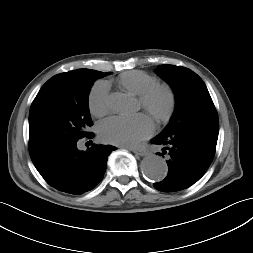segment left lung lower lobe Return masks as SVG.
Instances as JSON below:
<instances>
[{
  "label": "left lung lower lobe",
  "instance_id": "1",
  "mask_svg": "<svg viewBox=\"0 0 253 253\" xmlns=\"http://www.w3.org/2000/svg\"><path fill=\"white\" fill-rule=\"evenodd\" d=\"M218 132L219 127L207 123L153 138L151 142L164 146L163 154L168 150L170 155L168 175L163 181L154 183V187L162 192H174L197 182L214 158Z\"/></svg>",
  "mask_w": 253,
  "mask_h": 253
}]
</instances>
